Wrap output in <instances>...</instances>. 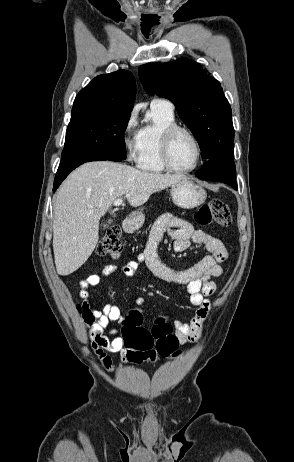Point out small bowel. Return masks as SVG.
<instances>
[{"mask_svg":"<svg viewBox=\"0 0 294 462\" xmlns=\"http://www.w3.org/2000/svg\"><path fill=\"white\" fill-rule=\"evenodd\" d=\"M165 234L174 239L173 249L176 252H183L194 243L203 245L209 253L188 268L173 269L161 261L157 251ZM226 258L227 251L218 238L202 230H196L188 221L164 214L153 225L145 251L136 259L124 264L121 271L124 276L131 278L136 275L139 266L145 264L158 279L185 287L191 305L197 309L190 322L175 320L174 331L179 344H186L197 341L202 335L203 324L211 308L209 297L216 291V283L213 279L222 275L221 264ZM117 269L114 264H106L101 272H94L79 283L82 317L91 327L89 332L91 346L103 367L109 372L115 370V365L107 352L119 353L124 365H139L148 361L145 353L127 347L123 338L118 335V330L111 327L112 322L122 324L124 320L120 308L111 303L106 304L102 309H96L92 305L91 289Z\"/></svg>","mask_w":294,"mask_h":462,"instance_id":"small-bowel-1","label":"small bowel"}]
</instances>
